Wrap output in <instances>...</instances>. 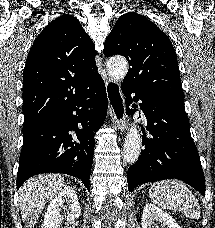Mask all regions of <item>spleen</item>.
Returning <instances> with one entry per match:
<instances>
[{
    "mask_svg": "<svg viewBox=\"0 0 215 228\" xmlns=\"http://www.w3.org/2000/svg\"><path fill=\"white\" fill-rule=\"evenodd\" d=\"M149 196L153 204H157L163 210H177L190 220L201 218L196 198L188 190L186 184L179 180L154 182L149 190Z\"/></svg>",
    "mask_w": 215,
    "mask_h": 228,
    "instance_id": "obj_1",
    "label": "spleen"
}]
</instances>
